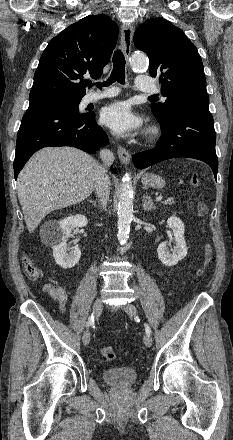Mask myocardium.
Instances as JSON below:
<instances>
[{
  "mask_svg": "<svg viewBox=\"0 0 233 440\" xmlns=\"http://www.w3.org/2000/svg\"><path fill=\"white\" fill-rule=\"evenodd\" d=\"M149 136L151 137V138H153V137H155L156 136V134H157V130L155 129V128H152L150 131H149Z\"/></svg>",
  "mask_w": 233,
  "mask_h": 440,
  "instance_id": "1",
  "label": "myocardium"
}]
</instances>
